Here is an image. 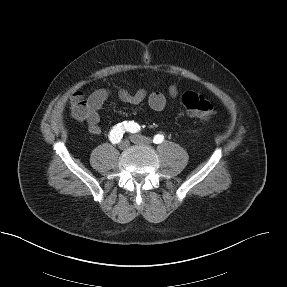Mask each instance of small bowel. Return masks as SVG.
I'll return each mask as SVG.
<instances>
[{"label":"small bowel","instance_id":"c3829d8e","mask_svg":"<svg viewBox=\"0 0 287 287\" xmlns=\"http://www.w3.org/2000/svg\"><path fill=\"white\" fill-rule=\"evenodd\" d=\"M179 94V83L175 82L169 87V95L176 98ZM109 97V91L106 89H98L92 92L87 100L89 113L85 119L88 130L93 135H100L102 130L100 127V110ZM121 101L133 105L146 102L150 109L154 111H162L166 107V98L160 92L148 93L144 89H139L134 93L126 89L118 92Z\"/></svg>","mask_w":287,"mask_h":287}]
</instances>
